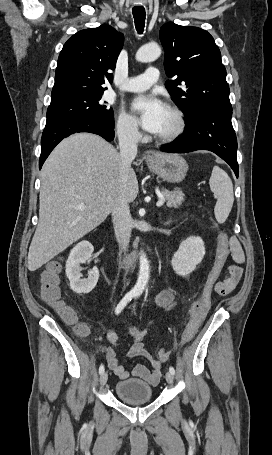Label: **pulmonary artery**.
Returning a JSON list of instances; mask_svg holds the SVG:
<instances>
[{"label": "pulmonary artery", "instance_id": "e3ab8cb5", "mask_svg": "<svg viewBox=\"0 0 272 455\" xmlns=\"http://www.w3.org/2000/svg\"><path fill=\"white\" fill-rule=\"evenodd\" d=\"M158 78V69L155 67H149L145 73L127 79L122 85V90L128 92L144 91L156 83L158 81Z\"/></svg>", "mask_w": 272, "mask_h": 455}]
</instances>
